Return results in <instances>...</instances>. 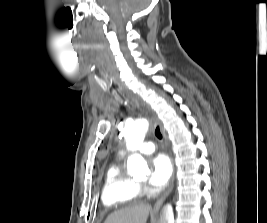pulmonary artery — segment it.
<instances>
[{"label":"pulmonary artery","instance_id":"e3ab8cb5","mask_svg":"<svg viewBox=\"0 0 267 223\" xmlns=\"http://www.w3.org/2000/svg\"><path fill=\"white\" fill-rule=\"evenodd\" d=\"M155 150V143L152 141H147L145 143H143L140 147H138L135 151L140 152V153H144V154H148L151 153ZM128 152V150H123L122 154H126Z\"/></svg>","mask_w":267,"mask_h":223}]
</instances>
